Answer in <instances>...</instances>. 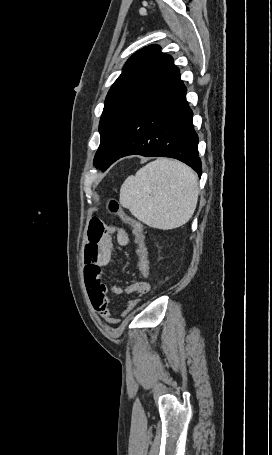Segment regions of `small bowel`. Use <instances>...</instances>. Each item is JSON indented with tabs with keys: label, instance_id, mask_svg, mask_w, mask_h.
<instances>
[{
	"label": "small bowel",
	"instance_id": "c3829d8e",
	"mask_svg": "<svg viewBox=\"0 0 272 455\" xmlns=\"http://www.w3.org/2000/svg\"><path fill=\"white\" fill-rule=\"evenodd\" d=\"M112 233H115L116 241L120 246L125 247L129 244L130 237L124 228H110L95 218L90 221L85 245V282L94 309L107 323L116 324L119 319L115 317V313L110 307L108 293H136L141 296L150 290V284L147 280H141L122 289L116 286H108L105 283L104 268L110 262L114 251ZM137 304L138 299L128 301L120 316L127 315Z\"/></svg>",
	"mask_w": 272,
	"mask_h": 455
}]
</instances>
